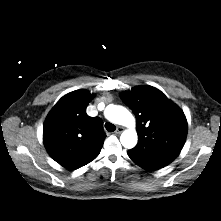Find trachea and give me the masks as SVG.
I'll return each instance as SVG.
<instances>
[{"instance_id":"trachea-1","label":"trachea","mask_w":221,"mask_h":221,"mask_svg":"<svg viewBox=\"0 0 221 221\" xmlns=\"http://www.w3.org/2000/svg\"><path fill=\"white\" fill-rule=\"evenodd\" d=\"M105 128H106V130H107L108 132H114L115 129H116L115 125L112 124V123H110V122H107V123L105 124Z\"/></svg>"}]
</instances>
